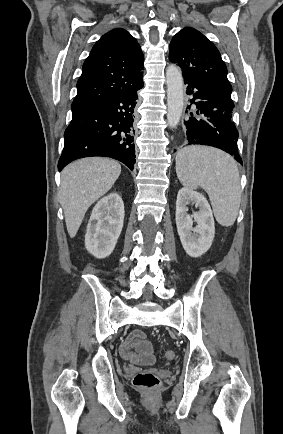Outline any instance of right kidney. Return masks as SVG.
Masks as SVG:
<instances>
[{"label":"right kidney","mask_w":283,"mask_h":434,"mask_svg":"<svg viewBox=\"0 0 283 434\" xmlns=\"http://www.w3.org/2000/svg\"><path fill=\"white\" fill-rule=\"evenodd\" d=\"M123 221L124 204L117 193H111L99 200L87 225V251L99 259L108 257L116 246Z\"/></svg>","instance_id":"1"}]
</instances>
